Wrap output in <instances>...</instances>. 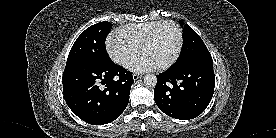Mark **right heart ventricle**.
I'll return each mask as SVG.
<instances>
[{
    "label": "right heart ventricle",
    "instance_id": "obj_1",
    "mask_svg": "<svg viewBox=\"0 0 276 138\" xmlns=\"http://www.w3.org/2000/svg\"><path fill=\"white\" fill-rule=\"evenodd\" d=\"M162 21H149L138 24H131L122 29H120L117 34L131 43H133L138 48H141L142 44L149 36L151 31Z\"/></svg>",
    "mask_w": 276,
    "mask_h": 138
}]
</instances>
